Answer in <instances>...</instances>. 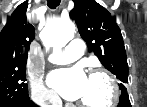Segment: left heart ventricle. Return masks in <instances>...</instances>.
<instances>
[{
  "label": "left heart ventricle",
  "instance_id": "b2bd125f",
  "mask_svg": "<svg viewBox=\"0 0 147 107\" xmlns=\"http://www.w3.org/2000/svg\"><path fill=\"white\" fill-rule=\"evenodd\" d=\"M110 98V88L103 77H89L87 79L85 91L79 101L91 105L106 103Z\"/></svg>",
  "mask_w": 147,
  "mask_h": 107
}]
</instances>
